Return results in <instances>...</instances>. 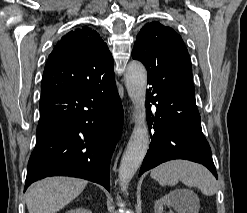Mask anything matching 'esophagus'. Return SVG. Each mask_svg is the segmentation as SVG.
<instances>
[{"instance_id": "obj_1", "label": "esophagus", "mask_w": 247, "mask_h": 213, "mask_svg": "<svg viewBox=\"0 0 247 213\" xmlns=\"http://www.w3.org/2000/svg\"><path fill=\"white\" fill-rule=\"evenodd\" d=\"M135 119H136L135 111H132V114H131V122H133Z\"/></svg>"}]
</instances>
